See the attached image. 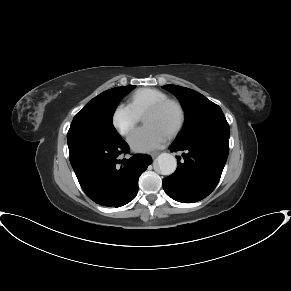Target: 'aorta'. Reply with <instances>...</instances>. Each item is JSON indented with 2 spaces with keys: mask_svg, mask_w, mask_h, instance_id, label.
<instances>
[{
  "mask_svg": "<svg viewBox=\"0 0 291 291\" xmlns=\"http://www.w3.org/2000/svg\"><path fill=\"white\" fill-rule=\"evenodd\" d=\"M157 164L162 175H171L177 168L176 158L169 153H162L157 157Z\"/></svg>",
  "mask_w": 291,
  "mask_h": 291,
  "instance_id": "aorta-1",
  "label": "aorta"
}]
</instances>
